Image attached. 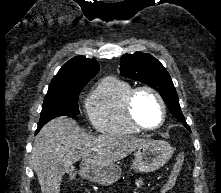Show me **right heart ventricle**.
<instances>
[{
  "label": "right heart ventricle",
  "instance_id": "right-heart-ventricle-1",
  "mask_svg": "<svg viewBox=\"0 0 221 193\" xmlns=\"http://www.w3.org/2000/svg\"><path fill=\"white\" fill-rule=\"evenodd\" d=\"M133 86L124 80L107 77L88 96L85 109L96 130L106 134L135 135L140 132L128 119L125 101Z\"/></svg>",
  "mask_w": 221,
  "mask_h": 193
}]
</instances>
